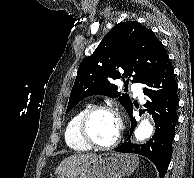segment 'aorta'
I'll return each mask as SVG.
<instances>
[{"mask_svg": "<svg viewBox=\"0 0 194 178\" xmlns=\"http://www.w3.org/2000/svg\"><path fill=\"white\" fill-rule=\"evenodd\" d=\"M153 133V126L148 119H144L140 122L135 129L134 135L137 141H142L149 138Z\"/></svg>", "mask_w": 194, "mask_h": 178, "instance_id": "1", "label": "aorta"}]
</instances>
